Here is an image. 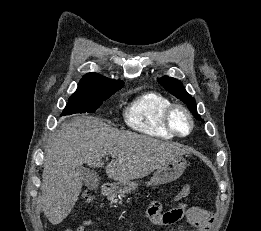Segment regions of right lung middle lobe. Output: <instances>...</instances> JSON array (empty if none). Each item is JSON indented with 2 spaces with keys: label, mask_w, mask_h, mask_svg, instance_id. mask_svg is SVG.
Listing matches in <instances>:
<instances>
[{
  "label": "right lung middle lobe",
  "mask_w": 261,
  "mask_h": 231,
  "mask_svg": "<svg viewBox=\"0 0 261 231\" xmlns=\"http://www.w3.org/2000/svg\"><path fill=\"white\" fill-rule=\"evenodd\" d=\"M103 93V94H73L69 97V101L63 110L62 115H71L74 113H94L98 109L102 102L107 100L112 94Z\"/></svg>",
  "instance_id": "obj_1"
}]
</instances>
